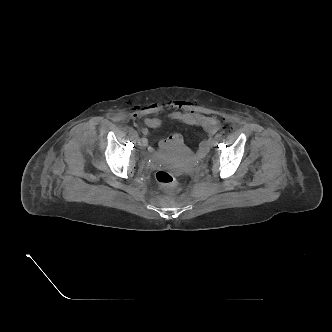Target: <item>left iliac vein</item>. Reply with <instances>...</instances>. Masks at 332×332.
<instances>
[{
    "label": "left iliac vein",
    "mask_w": 332,
    "mask_h": 332,
    "mask_svg": "<svg viewBox=\"0 0 332 332\" xmlns=\"http://www.w3.org/2000/svg\"><path fill=\"white\" fill-rule=\"evenodd\" d=\"M217 143H218V139L215 137V139H214L213 142H212V145H213V146H216Z\"/></svg>",
    "instance_id": "obj_1"
}]
</instances>
